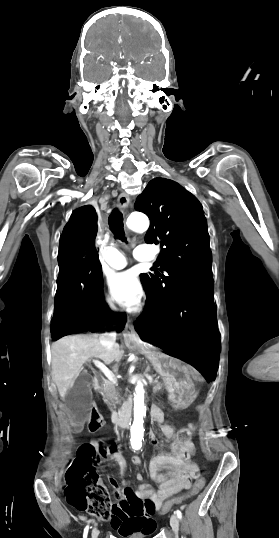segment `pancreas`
I'll return each instance as SVG.
<instances>
[{"label":"pancreas","mask_w":279,"mask_h":538,"mask_svg":"<svg viewBox=\"0 0 279 538\" xmlns=\"http://www.w3.org/2000/svg\"><path fill=\"white\" fill-rule=\"evenodd\" d=\"M161 385H163V380L153 379L151 381L150 387L152 388V391L154 393H159L161 392ZM100 394L101 396H103V400L105 404L109 406L112 412H115V408H116V404H118V396H119V392L116 388V384H113V382H105L103 388H101Z\"/></svg>","instance_id":"pancreas-1"}]
</instances>
